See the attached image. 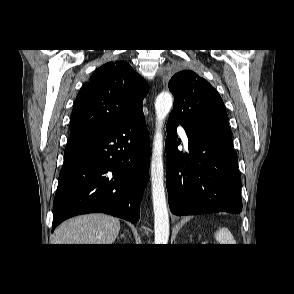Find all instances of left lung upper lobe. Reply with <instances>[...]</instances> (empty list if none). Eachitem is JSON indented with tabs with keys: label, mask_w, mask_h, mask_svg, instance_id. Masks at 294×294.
<instances>
[{
	"label": "left lung upper lobe",
	"mask_w": 294,
	"mask_h": 294,
	"mask_svg": "<svg viewBox=\"0 0 294 294\" xmlns=\"http://www.w3.org/2000/svg\"><path fill=\"white\" fill-rule=\"evenodd\" d=\"M168 87L175 97L169 118L185 130L232 135L223 100L204 78L183 70L172 76Z\"/></svg>",
	"instance_id": "obj_1"
}]
</instances>
